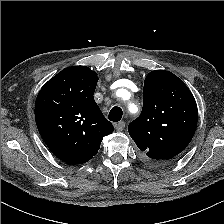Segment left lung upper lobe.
<instances>
[{
    "instance_id": "obj_1",
    "label": "left lung upper lobe",
    "mask_w": 224,
    "mask_h": 224,
    "mask_svg": "<svg viewBox=\"0 0 224 224\" xmlns=\"http://www.w3.org/2000/svg\"><path fill=\"white\" fill-rule=\"evenodd\" d=\"M198 121L195 99L176 75L150 72L144 81L143 108L128 131L151 164L172 163L192 140Z\"/></svg>"
}]
</instances>
